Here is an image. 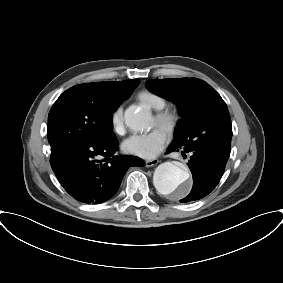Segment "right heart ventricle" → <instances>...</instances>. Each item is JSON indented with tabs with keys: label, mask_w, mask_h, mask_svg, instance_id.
<instances>
[{
	"label": "right heart ventricle",
	"mask_w": 283,
	"mask_h": 283,
	"mask_svg": "<svg viewBox=\"0 0 283 283\" xmlns=\"http://www.w3.org/2000/svg\"><path fill=\"white\" fill-rule=\"evenodd\" d=\"M137 99L140 103L158 111L165 108L167 101L166 99L151 90H142L137 94Z\"/></svg>",
	"instance_id": "e07e8e85"
}]
</instances>
